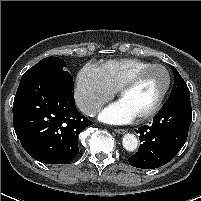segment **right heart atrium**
Wrapping results in <instances>:
<instances>
[{"mask_svg": "<svg viewBox=\"0 0 201 201\" xmlns=\"http://www.w3.org/2000/svg\"><path fill=\"white\" fill-rule=\"evenodd\" d=\"M113 91L103 80L97 67L85 65L78 73L75 99L80 110L94 115L113 96Z\"/></svg>", "mask_w": 201, "mask_h": 201, "instance_id": "1", "label": "right heart atrium"}]
</instances>
